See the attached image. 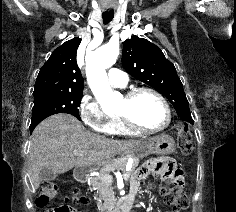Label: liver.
Here are the masks:
<instances>
[{
    "instance_id": "liver-1",
    "label": "liver",
    "mask_w": 236,
    "mask_h": 212,
    "mask_svg": "<svg viewBox=\"0 0 236 212\" xmlns=\"http://www.w3.org/2000/svg\"><path fill=\"white\" fill-rule=\"evenodd\" d=\"M140 140H113L87 131L70 114H56L33 131L29 151V179L33 190L40 186V173L47 168L62 174L73 167H101L116 155L126 154ZM74 151L82 155H74Z\"/></svg>"
}]
</instances>
